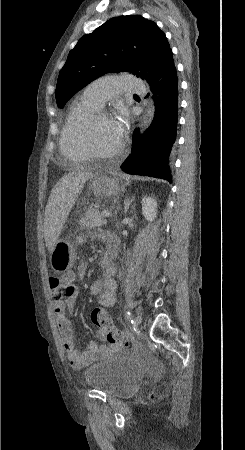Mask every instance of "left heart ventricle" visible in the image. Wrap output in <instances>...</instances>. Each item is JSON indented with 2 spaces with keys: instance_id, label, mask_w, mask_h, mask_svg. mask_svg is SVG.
<instances>
[{
  "instance_id": "left-heart-ventricle-1",
  "label": "left heart ventricle",
  "mask_w": 245,
  "mask_h": 450,
  "mask_svg": "<svg viewBox=\"0 0 245 450\" xmlns=\"http://www.w3.org/2000/svg\"><path fill=\"white\" fill-rule=\"evenodd\" d=\"M93 138L96 148L104 153L115 151L121 144L114 134L111 120L104 117L95 119Z\"/></svg>"
}]
</instances>
